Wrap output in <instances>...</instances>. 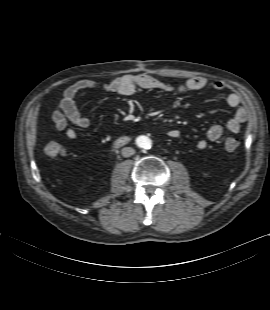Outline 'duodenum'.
I'll use <instances>...</instances> for the list:
<instances>
[{"label": "duodenum", "instance_id": "1", "mask_svg": "<svg viewBox=\"0 0 270 310\" xmlns=\"http://www.w3.org/2000/svg\"><path fill=\"white\" fill-rule=\"evenodd\" d=\"M126 142H127V138H125V137H120V138H118V139L115 141V144H116L117 146H123V145L126 144Z\"/></svg>", "mask_w": 270, "mask_h": 310}]
</instances>
